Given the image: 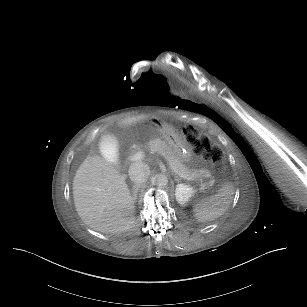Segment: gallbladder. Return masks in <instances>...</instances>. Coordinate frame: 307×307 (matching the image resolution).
<instances>
[{"label":"gallbladder","mask_w":307,"mask_h":307,"mask_svg":"<svg viewBox=\"0 0 307 307\" xmlns=\"http://www.w3.org/2000/svg\"><path fill=\"white\" fill-rule=\"evenodd\" d=\"M98 143L100 153L107 161L113 162L117 170H120L122 165L120 164L121 159L119 157L120 146L118 138L115 135L102 134L98 140Z\"/></svg>","instance_id":"gallbladder-1"}]
</instances>
